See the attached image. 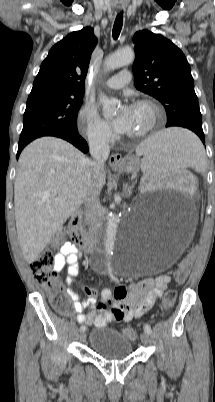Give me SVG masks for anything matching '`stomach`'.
Instances as JSON below:
<instances>
[{
    "label": "stomach",
    "mask_w": 215,
    "mask_h": 402,
    "mask_svg": "<svg viewBox=\"0 0 215 402\" xmlns=\"http://www.w3.org/2000/svg\"><path fill=\"white\" fill-rule=\"evenodd\" d=\"M139 167H140L139 160L134 157H129L125 160L124 164L116 168V170L129 174H134L139 170Z\"/></svg>",
    "instance_id": "stomach-1"
}]
</instances>
